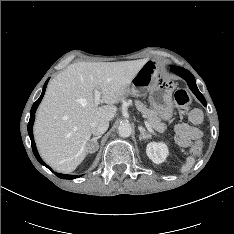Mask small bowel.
<instances>
[{
    "mask_svg": "<svg viewBox=\"0 0 234 234\" xmlns=\"http://www.w3.org/2000/svg\"><path fill=\"white\" fill-rule=\"evenodd\" d=\"M203 120L200 110L195 109L189 115V123L181 122L177 124L175 130L177 134V143L181 147H187L192 140L202 137V131L198 128Z\"/></svg>",
    "mask_w": 234,
    "mask_h": 234,
    "instance_id": "obj_1",
    "label": "small bowel"
}]
</instances>
